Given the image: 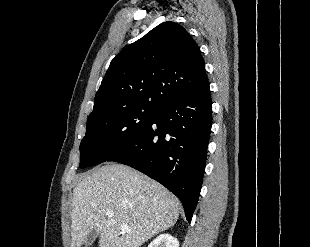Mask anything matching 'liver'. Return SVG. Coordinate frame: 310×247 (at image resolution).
<instances>
[{"label": "liver", "instance_id": "6515ba94", "mask_svg": "<svg viewBox=\"0 0 310 247\" xmlns=\"http://www.w3.org/2000/svg\"><path fill=\"white\" fill-rule=\"evenodd\" d=\"M180 208V201L158 182L129 166L107 164L84 176L73 190L70 247H80L92 229L99 247H140L171 228ZM107 210L114 216L108 217Z\"/></svg>", "mask_w": 310, "mask_h": 247}]
</instances>
